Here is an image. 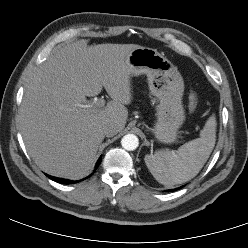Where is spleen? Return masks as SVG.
Masks as SVG:
<instances>
[{"label":"spleen","instance_id":"1","mask_svg":"<svg viewBox=\"0 0 248 248\" xmlns=\"http://www.w3.org/2000/svg\"><path fill=\"white\" fill-rule=\"evenodd\" d=\"M216 118L212 115L200 132L176 151L160 150L145 156L153 177L163 185L185 183L194 178L208 160L216 141Z\"/></svg>","mask_w":248,"mask_h":248}]
</instances>
